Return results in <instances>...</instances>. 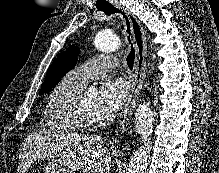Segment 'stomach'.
<instances>
[{"label":"stomach","mask_w":219,"mask_h":173,"mask_svg":"<svg viewBox=\"0 0 219 173\" xmlns=\"http://www.w3.org/2000/svg\"><path fill=\"white\" fill-rule=\"evenodd\" d=\"M45 173H69L68 170L62 167L57 161H49L44 169Z\"/></svg>","instance_id":"stomach-1"}]
</instances>
